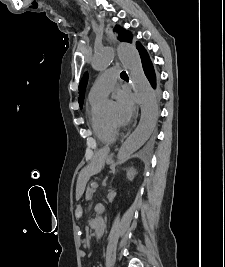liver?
<instances>
[{"instance_id": "6515ba94", "label": "liver", "mask_w": 225, "mask_h": 267, "mask_svg": "<svg viewBox=\"0 0 225 267\" xmlns=\"http://www.w3.org/2000/svg\"><path fill=\"white\" fill-rule=\"evenodd\" d=\"M107 154H108L107 150H101L94 155L93 160L88 168L89 174H96L102 169V166H103V163H104V160ZM82 193H83V189L77 194L76 196L77 199L80 198Z\"/></svg>"}]
</instances>
